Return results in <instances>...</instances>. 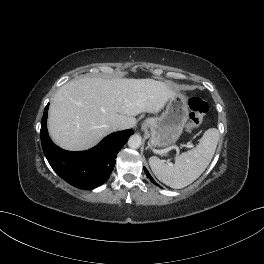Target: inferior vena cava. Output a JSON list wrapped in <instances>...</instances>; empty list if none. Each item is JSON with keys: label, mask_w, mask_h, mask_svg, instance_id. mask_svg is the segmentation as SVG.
I'll list each match as a JSON object with an SVG mask.
<instances>
[{"label": "inferior vena cava", "mask_w": 264, "mask_h": 264, "mask_svg": "<svg viewBox=\"0 0 264 264\" xmlns=\"http://www.w3.org/2000/svg\"><path fill=\"white\" fill-rule=\"evenodd\" d=\"M113 128H114V130H123V129H125V124L121 123V122L115 123L113 125Z\"/></svg>", "instance_id": "1"}]
</instances>
